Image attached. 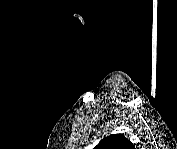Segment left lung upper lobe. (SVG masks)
Wrapping results in <instances>:
<instances>
[{"mask_svg": "<svg viewBox=\"0 0 177 149\" xmlns=\"http://www.w3.org/2000/svg\"><path fill=\"white\" fill-rule=\"evenodd\" d=\"M133 144L122 134L105 137L94 149H132Z\"/></svg>", "mask_w": 177, "mask_h": 149, "instance_id": "1", "label": "left lung upper lobe"}]
</instances>
